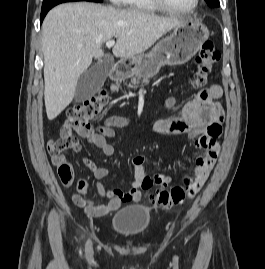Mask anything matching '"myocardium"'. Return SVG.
Instances as JSON below:
<instances>
[{"mask_svg":"<svg viewBox=\"0 0 265 269\" xmlns=\"http://www.w3.org/2000/svg\"><path fill=\"white\" fill-rule=\"evenodd\" d=\"M151 1L159 9L169 12V13H176V14H191L194 11H196L200 3V0H195L192 8L187 9V10H182V9H177L170 6L165 0H151Z\"/></svg>","mask_w":265,"mask_h":269,"instance_id":"f54148a6","label":"myocardium"}]
</instances>
